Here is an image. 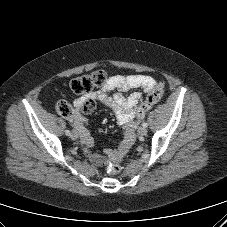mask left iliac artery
Returning <instances> with one entry per match:
<instances>
[{
    "label": "left iliac artery",
    "mask_w": 227,
    "mask_h": 227,
    "mask_svg": "<svg viewBox=\"0 0 227 227\" xmlns=\"http://www.w3.org/2000/svg\"><path fill=\"white\" fill-rule=\"evenodd\" d=\"M142 126H143L144 128H147L148 124H147V123H143Z\"/></svg>",
    "instance_id": "1"
}]
</instances>
